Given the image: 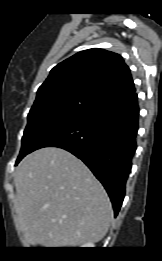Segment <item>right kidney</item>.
Here are the masks:
<instances>
[{"instance_id": "obj_1", "label": "right kidney", "mask_w": 162, "mask_h": 261, "mask_svg": "<svg viewBox=\"0 0 162 261\" xmlns=\"http://www.w3.org/2000/svg\"><path fill=\"white\" fill-rule=\"evenodd\" d=\"M82 247H94V245H93V243L88 242V243L82 245Z\"/></svg>"}]
</instances>
